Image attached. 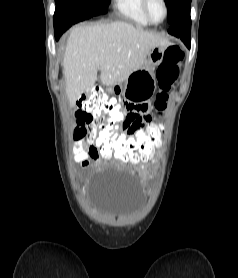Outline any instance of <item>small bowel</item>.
Instances as JSON below:
<instances>
[{
  "mask_svg": "<svg viewBox=\"0 0 238 278\" xmlns=\"http://www.w3.org/2000/svg\"><path fill=\"white\" fill-rule=\"evenodd\" d=\"M146 124L151 123V116L149 112V106L146 103L140 102L131 104L126 118L123 124L120 126L122 131L126 132L125 136L120 137H134L136 130H160V129H146ZM96 125L97 123L91 124L86 135L84 143L80 144L76 149V159L82 167H89L99 159L98 149L96 146ZM150 135H147L149 137ZM155 137L159 135H154ZM80 140V139H77ZM137 163V162H130Z\"/></svg>",
  "mask_w": 238,
  "mask_h": 278,
  "instance_id": "small-bowel-1",
  "label": "small bowel"
}]
</instances>
